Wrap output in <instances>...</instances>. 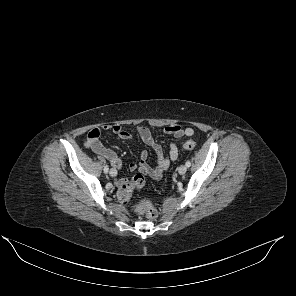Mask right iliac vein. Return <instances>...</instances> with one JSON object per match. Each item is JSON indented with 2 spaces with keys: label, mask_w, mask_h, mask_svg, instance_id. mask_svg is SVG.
Masks as SVG:
<instances>
[{
  "label": "right iliac vein",
  "mask_w": 296,
  "mask_h": 296,
  "mask_svg": "<svg viewBox=\"0 0 296 296\" xmlns=\"http://www.w3.org/2000/svg\"><path fill=\"white\" fill-rule=\"evenodd\" d=\"M110 176L115 177L117 175V170L112 168L109 172Z\"/></svg>",
  "instance_id": "obj_1"
}]
</instances>
